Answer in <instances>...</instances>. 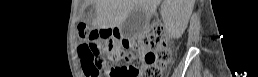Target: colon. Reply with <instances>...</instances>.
Wrapping results in <instances>:
<instances>
[{
    "instance_id": "obj_1",
    "label": "colon",
    "mask_w": 258,
    "mask_h": 77,
    "mask_svg": "<svg viewBox=\"0 0 258 77\" xmlns=\"http://www.w3.org/2000/svg\"><path fill=\"white\" fill-rule=\"evenodd\" d=\"M80 33L86 43L80 45L79 53L85 73L91 77L105 69L109 77H162L172 61L173 54L161 23L152 24L145 35L123 39L127 43L125 50L108 48L109 41L121 39L112 30L81 29ZM108 60L115 65L108 68Z\"/></svg>"
}]
</instances>
